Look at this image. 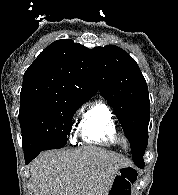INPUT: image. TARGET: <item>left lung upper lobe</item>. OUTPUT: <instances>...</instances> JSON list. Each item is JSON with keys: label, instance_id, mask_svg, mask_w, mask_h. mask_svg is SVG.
Returning a JSON list of instances; mask_svg holds the SVG:
<instances>
[{"label": "left lung upper lobe", "instance_id": "obj_1", "mask_svg": "<svg viewBox=\"0 0 178 195\" xmlns=\"http://www.w3.org/2000/svg\"><path fill=\"white\" fill-rule=\"evenodd\" d=\"M92 54L100 94L115 110L130 142L134 163L143 168L150 110L146 81L135 60L121 48L95 47Z\"/></svg>", "mask_w": 178, "mask_h": 195}]
</instances>
